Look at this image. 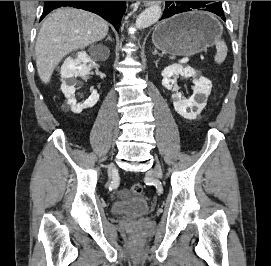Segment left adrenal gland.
<instances>
[{
	"mask_svg": "<svg viewBox=\"0 0 271 266\" xmlns=\"http://www.w3.org/2000/svg\"><path fill=\"white\" fill-rule=\"evenodd\" d=\"M153 55H158V56H160V57H162L163 55L162 54H160L156 49H154V51H153Z\"/></svg>",
	"mask_w": 271,
	"mask_h": 266,
	"instance_id": "1",
	"label": "left adrenal gland"
}]
</instances>
